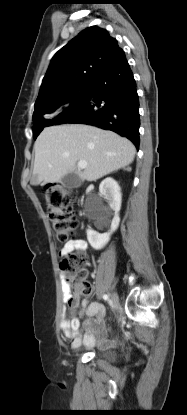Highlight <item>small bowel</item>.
Listing matches in <instances>:
<instances>
[{"label":"small bowel","mask_w":187,"mask_h":415,"mask_svg":"<svg viewBox=\"0 0 187 415\" xmlns=\"http://www.w3.org/2000/svg\"><path fill=\"white\" fill-rule=\"evenodd\" d=\"M87 243L82 239L68 241L61 250V255L65 256L73 250H86ZM63 299L69 310L74 311L80 307L76 316L69 318L64 316L61 321V329L65 337L70 341L73 349L79 348L82 344L86 348H92L97 341L101 345L108 344L105 341L104 333L99 330L96 332L97 326L104 325L105 309L96 301L80 300L78 295L70 292V287L66 282L62 283ZM87 316L88 319L84 323V332H82V320Z\"/></svg>","instance_id":"1"}]
</instances>
